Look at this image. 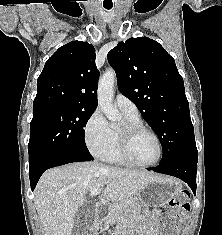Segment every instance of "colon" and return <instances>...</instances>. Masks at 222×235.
Wrapping results in <instances>:
<instances>
[{
	"instance_id": "obj_1",
	"label": "colon",
	"mask_w": 222,
	"mask_h": 235,
	"mask_svg": "<svg viewBox=\"0 0 222 235\" xmlns=\"http://www.w3.org/2000/svg\"><path fill=\"white\" fill-rule=\"evenodd\" d=\"M190 210L189 194L179 191L169 202L162 218V232L159 235H177L179 224Z\"/></svg>"
}]
</instances>
